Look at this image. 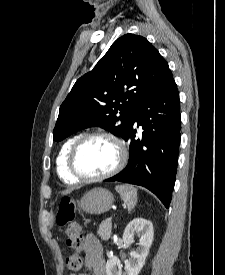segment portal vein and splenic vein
Returning <instances> with one entry per match:
<instances>
[{
  "label": "portal vein and splenic vein",
  "instance_id": "1",
  "mask_svg": "<svg viewBox=\"0 0 225 275\" xmlns=\"http://www.w3.org/2000/svg\"><path fill=\"white\" fill-rule=\"evenodd\" d=\"M112 220V218L110 217V218H107V221H111Z\"/></svg>",
  "mask_w": 225,
  "mask_h": 275
}]
</instances>
